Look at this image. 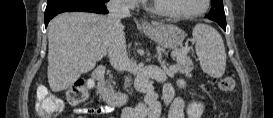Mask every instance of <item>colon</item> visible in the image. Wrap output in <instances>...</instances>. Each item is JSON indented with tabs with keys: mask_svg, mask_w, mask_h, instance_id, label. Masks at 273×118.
Here are the masks:
<instances>
[{
	"mask_svg": "<svg viewBox=\"0 0 273 118\" xmlns=\"http://www.w3.org/2000/svg\"><path fill=\"white\" fill-rule=\"evenodd\" d=\"M235 86L233 77L227 76L218 80V87L223 92H232ZM88 97V88L81 81L75 82L67 92L68 102L72 105L83 104ZM36 98L37 112L41 118L54 117L62 110L61 100L43 87L38 88Z\"/></svg>",
	"mask_w": 273,
	"mask_h": 118,
	"instance_id": "1",
	"label": "colon"
}]
</instances>
